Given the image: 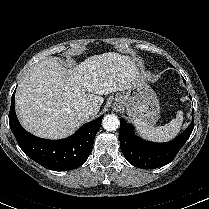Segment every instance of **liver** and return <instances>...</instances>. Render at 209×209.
<instances>
[{"mask_svg":"<svg viewBox=\"0 0 209 209\" xmlns=\"http://www.w3.org/2000/svg\"><path fill=\"white\" fill-rule=\"evenodd\" d=\"M139 77L131 58L115 52L90 56L73 69L51 57L32 66L19 83L16 114L35 136L62 139L99 112L102 95L128 90ZM89 105L96 114L86 115Z\"/></svg>","mask_w":209,"mask_h":209,"instance_id":"6515ba94","label":"liver"}]
</instances>
